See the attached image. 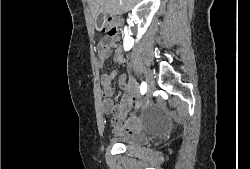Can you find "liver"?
<instances>
[{
    "label": "liver",
    "mask_w": 250,
    "mask_h": 169,
    "mask_svg": "<svg viewBox=\"0 0 250 169\" xmlns=\"http://www.w3.org/2000/svg\"><path fill=\"white\" fill-rule=\"evenodd\" d=\"M140 0H88V4L91 8L93 16L97 14H109V16H115V14H123L128 12L130 8H133Z\"/></svg>",
    "instance_id": "obj_1"
}]
</instances>
